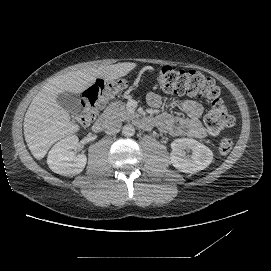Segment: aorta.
<instances>
[{
  "instance_id": "1",
  "label": "aorta",
  "mask_w": 271,
  "mask_h": 271,
  "mask_svg": "<svg viewBox=\"0 0 271 271\" xmlns=\"http://www.w3.org/2000/svg\"><path fill=\"white\" fill-rule=\"evenodd\" d=\"M135 133V128L131 124H125L122 127V134L126 137H130L134 135Z\"/></svg>"
}]
</instances>
